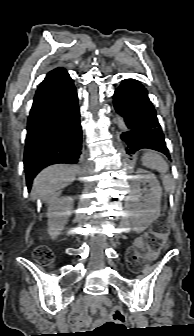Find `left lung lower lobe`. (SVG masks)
<instances>
[{
    "label": "left lung lower lobe",
    "mask_w": 194,
    "mask_h": 336,
    "mask_svg": "<svg viewBox=\"0 0 194 336\" xmlns=\"http://www.w3.org/2000/svg\"><path fill=\"white\" fill-rule=\"evenodd\" d=\"M114 107L130 129L121 135L126 143L127 154L149 148L170 159L156 111L143 85L135 79L124 80L115 90Z\"/></svg>",
    "instance_id": "0a47b994"
}]
</instances>
